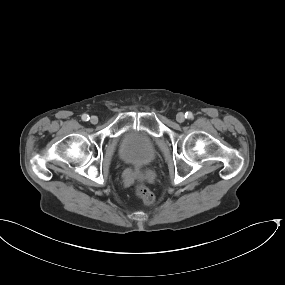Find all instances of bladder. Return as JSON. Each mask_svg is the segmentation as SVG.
<instances>
[{"mask_svg":"<svg viewBox=\"0 0 285 285\" xmlns=\"http://www.w3.org/2000/svg\"><path fill=\"white\" fill-rule=\"evenodd\" d=\"M118 150L122 160L133 167L148 165L156 155L155 138L143 131L130 130L122 133Z\"/></svg>","mask_w":285,"mask_h":285,"instance_id":"1","label":"bladder"}]
</instances>
